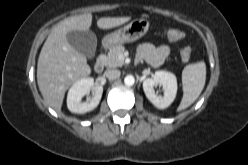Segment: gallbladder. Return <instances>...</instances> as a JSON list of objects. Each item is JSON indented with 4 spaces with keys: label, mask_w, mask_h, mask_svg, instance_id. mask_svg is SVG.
Listing matches in <instances>:
<instances>
[{
    "label": "gallbladder",
    "mask_w": 248,
    "mask_h": 165,
    "mask_svg": "<svg viewBox=\"0 0 248 165\" xmlns=\"http://www.w3.org/2000/svg\"><path fill=\"white\" fill-rule=\"evenodd\" d=\"M67 41L76 51L87 58H93L97 46L96 35L90 31L72 30L67 33Z\"/></svg>",
    "instance_id": "obj_1"
}]
</instances>
